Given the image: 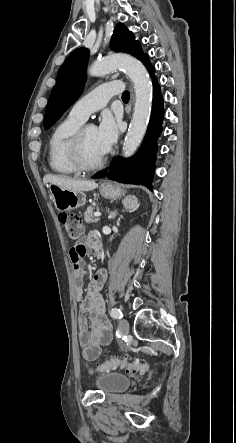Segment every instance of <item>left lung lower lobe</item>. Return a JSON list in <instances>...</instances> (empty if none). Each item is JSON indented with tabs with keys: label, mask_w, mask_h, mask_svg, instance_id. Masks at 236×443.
<instances>
[{
	"label": "left lung lower lobe",
	"mask_w": 236,
	"mask_h": 443,
	"mask_svg": "<svg viewBox=\"0 0 236 443\" xmlns=\"http://www.w3.org/2000/svg\"><path fill=\"white\" fill-rule=\"evenodd\" d=\"M143 64L149 71L154 86L153 107L150 122L143 144L138 153L129 159L119 156L112 160L109 168L98 172L93 178L108 176L109 179L121 183L141 184L152 189V176L154 174L155 153L157 150L156 140L162 130L163 100L159 85L154 76V68L149 62L148 56L142 59Z\"/></svg>",
	"instance_id": "1"
}]
</instances>
